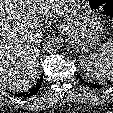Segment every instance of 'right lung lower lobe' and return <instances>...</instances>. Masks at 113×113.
I'll use <instances>...</instances> for the list:
<instances>
[{
    "label": "right lung lower lobe",
    "instance_id": "right-lung-lower-lobe-1",
    "mask_svg": "<svg viewBox=\"0 0 113 113\" xmlns=\"http://www.w3.org/2000/svg\"><path fill=\"white\" fill-rule=\"evenodd\" d=\"M42 82H43V75L39 79L38 83L34 87H32L28 92L19 93V94H16V95L18 97H30V96H33L39 91Z\"/></svg>",
    "mask_w": 113,
    "mask_h": 113
}]
</instances>
